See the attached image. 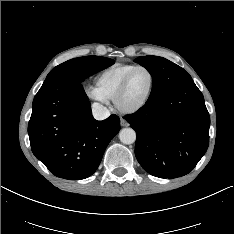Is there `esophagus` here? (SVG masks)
Listing matches in <instances>:
<instances>
[{"mask_svg":"<svg viewBox=\"0 0 234 234\" xmlns=\"http://www.w3.org/2000/svg\"><path fill=\"white\" fill-rule=\"evenodd\" d=\"M120 123H121V126H123V127L129 126V123L124 118H121Z\"/></svg>","mask_w":234,"mask_h":234,"instance_id":"obj_1","label":"esophagus"}]
</instances>
